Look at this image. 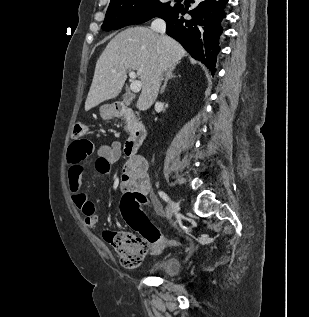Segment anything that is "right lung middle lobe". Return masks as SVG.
<instances>
[{
    "label": "right lung middle lobe",
    "instance_id": "1",
    "mask_svg": "<svg viewBox=\"0 0 309 317\" xmlns=\"http://www.w3.org/2000/svg\"><path fill=\"white\" fill-rule=\"evenodd\" d=\"M171 8L170 3L159 0H111L101 28L111 31L144 23Z\"/></svg>",
    "mask_w": 309,
    "mask_h": 317
}]
</instances>
